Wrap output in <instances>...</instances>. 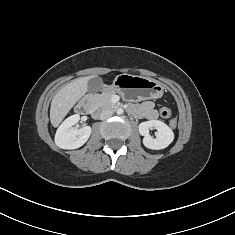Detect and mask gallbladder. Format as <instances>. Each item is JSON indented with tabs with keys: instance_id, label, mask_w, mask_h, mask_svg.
I'll return each instance as SVG.
<instances>
[{
	"instance_id": "1",
	"label": "gallbladder",
	"mask_w": 235,
	"mask_h": 235,
	"mask_svg": "<svg viewBox=\"0 0 235 235\" xmlns=\"http://www.w3.org/2000/svg\"><path fill=\"white\" fill-rule=\"evenodd\" d=\"M102 86H103V81L100 77L98 76L92 77L91 79H89L87 84L88 92L96 93L102 88Z\"/></svg>"
}]
</instances>
